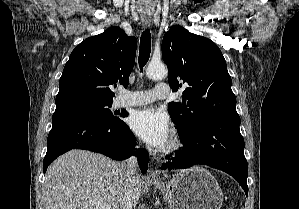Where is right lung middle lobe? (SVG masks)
Listing matches in <instances>:
<instances>
[{"label":"right lung middle lobe","mask_w":299,"mask_h":209,"mask_svg":"<svg viewBox=\"0 0 299 209\" xmlns=\"http://www.w3.org/2000/svg\"><path fill=\"white\" fill-rule=\"evenodd\" d=\"M112 102H71L61 105H56V110L58 109H69L80 112L84 115L90 116L97 121L107 122L110 124H116L120 122V118L117 116L119 113L113 114L109 108ZM120 117H125L124 113L119 115Z\"/></svg>","instance_id":"dd1d6c3e"}]
</instances>
